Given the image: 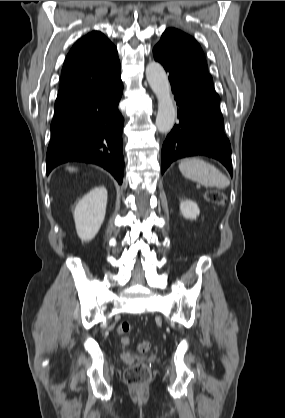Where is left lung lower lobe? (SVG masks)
I'll use <instances>...</instances> for the list:
<instances>
[{
	"label": "left lung lower lobe",
	"mask_w": 285,
	"mask_h": 418,
	"mask_svg": "<svg viewBox=\"0 0 285 418\" xmlns=\"http://www.w3.org/2000/svg\"><path fill=\"white\" fill-rule=\"evenodd\" d=\"M153 54L169 73L179 106V123L162 147V173L179 158L206 155L219 160L232 175L231 146L223 131L220 97L208 70L169 40H160Z\"/></svg>",
	"instance_id": "0a47b994"
}]
</instances>
